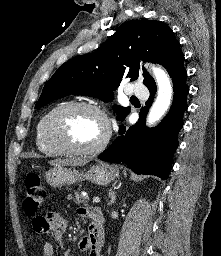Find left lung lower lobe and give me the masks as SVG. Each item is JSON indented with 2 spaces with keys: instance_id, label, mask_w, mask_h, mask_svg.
I'll return each mask as SVG.
<instances>
[{
  "instance_id": "0a47b994",
  "label": "left lung lower lobe",
  "mask_w": 221,
  "mask_h": 256,
  "mask_svg": "<svg viewBox=\"0 0 221 256\" xmlns=\"http://www.w3.org/2000/svg\"><path fill=\"white\" fill-rule=\"evenodd\" d=\"M174 86L172 107L162 122L154 128H147L145 118L147 107L141 109L138 122L125 131L121 126L119 134L111 146L99 159L115 163H125L137 174L156 175L167 179L172 157L178 147L177 136L183 127V114L187 110V72L182 68L171 76ZM151 95L146 102L150 107L156 93V85L148 87Z\"/></svg>"
}]
</instances>
